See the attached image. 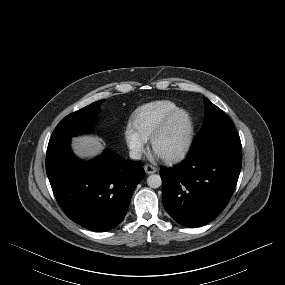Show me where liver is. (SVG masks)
I'll use <instances>...</instances> for the list:
<instances>
[{
  "label": "liver",
  "mask_w": 285,
  "mask_h": 285,
  "mask_svg": "<svg viewBox=\"0 0 285 285\" xmlns=\"http://www.w3.org/2000/svg\"><path fill=\"white\" fill-rule=\"evenodd\" d=\"M104 148L102 140L95 136L82 135L73 138V149L79 157H92Z\"/></svg>",
  "instance_id": "obj_1"
}]
</instances>
